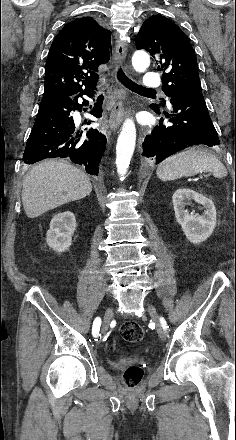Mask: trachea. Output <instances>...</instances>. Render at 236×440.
I'll use <instances>...</instances> for the list:
<instances>
[{
    "label": "trachea",
    "instance_id": "3493384b",
    "mask_svg": "<svg viewBox=\"0 0 236 440\" xmlns=\"http://www.w3.org/2000/svg\"><path fill=\"white\" fill-rule=\"evenodd\" d=\"M117 78L128 89L136 90V91H148V90H151V89L144 88L141 85H138L135 82H133L131 79H129L125 75V73L123 72V70L121 68H118Z\"/></svg>",
    "mask_w": 236,
    "mask_h": 440
}]
</instances>
